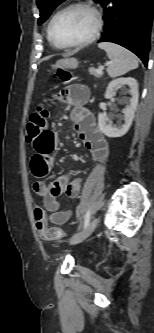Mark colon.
<instances>
[{
    "label": "colon",
    "mask_w": 154,
    "mask_h": 333,
    "mask_svg": "<svg viewBox=\"0 0 154 333\" xmlns=\"http://www.w3.org/2000/svg\"><path fill=\"white\" fill-rule=\"evenodd\" d=\"M57 76L65 82L71 79L70 73L62 69L57 71ZM48 116L49 111L42 106L37 107V109L30 115L26 128V140L28 142L33 143L36 137L46 127ZM34 219L39 234L43 239L53 241L58 240L63 236L61 228L47 226L46 213L44 209L39 206H36L34 209Z\"/></svg>",
    "instance_id": "colon-1"
}]
</instances>
